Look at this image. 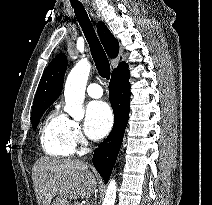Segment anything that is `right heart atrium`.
<instances>
[{"label":"right heart atrium","instance_id":"d8ad5b80","mask_svg":"<svg viewBox=\"0 0 212 205\" xmlns=\"http://www.w3.org/2000/svg\"><path fill=\"white\" fill-rule=\"evenodd\" d=\"M70 135L75 146L81 145L85 141L81 126L76 120H70Z\"/></svg>","mask_w":212,"mask_h":205}]
</instances>
